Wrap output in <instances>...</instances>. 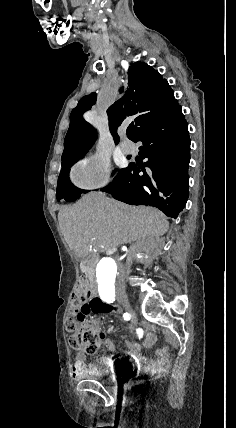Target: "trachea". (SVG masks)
<instances>
[{"instance_id": "trachea-1", "label": "trachea", "mask_w": 236, "mask_h": 428, "mask_svg": "<svg viewBox=\"0 0 236 428\" xmlns=\"http://www.w3.org/2000/svg\"><path fill=\"white\" fill-rule=\"evenodd\" d=\"M131 130H132V127H128L126 133L129 134Z\"/></svg>"}]
</instances>
